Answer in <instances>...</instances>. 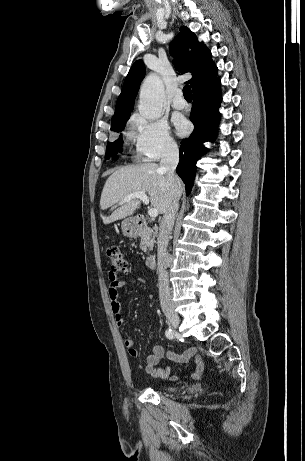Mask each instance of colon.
<instances>
[{"label":"colon","mask_w":305,"mask_h":461,"mask_svg":"<svg viewBox=\"0 0 305 461\" xmlns=\"http://www.w3.org/2000/svg\"><path fill=\"white\" fill-rule=\"evenodd\" d=\"M107 256L111 263V273L117 276L118 274L126 273L129 269L128 263L122 251L115 245L107 248Z\"/></svg>","instance_id":"obj_1"}]
</instances>
